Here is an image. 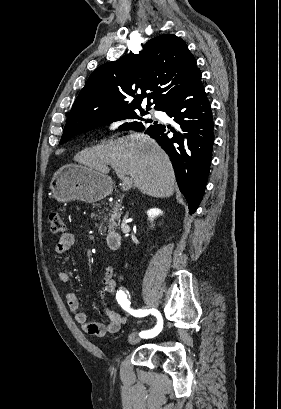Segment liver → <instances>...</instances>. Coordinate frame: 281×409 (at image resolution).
<instances>
[{
  "label": "liver",
  "mask_w": 281,
  "mask_h": 409,
  "mask_svg": "<svg viewBox=\"0 0 281 409\" xmlns=\"http://www.w3.org/2000/svg\"><path fill=\"white\" fill-rule=\"evenodd\" d=\"M77 162L96 168L106 174L113 168L124 170L133 178L135 188L144 194L165 198L174 194V170L163 148L148 134L133 132L107 144L85 148L74 156Z\"/></svg>",
  "instance_id": "liver-1"
}]
</instances>
